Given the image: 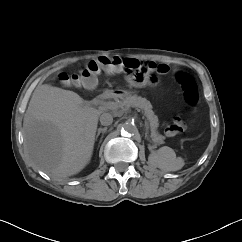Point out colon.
<instances>
[{"mask_svg": "<svg viewBox=\"0 0 242 242\" xmlns=\"http://www.w3.org/2000/svg\"><path fill=\"white\" fill-rule=\"evenodd\" d=\"M102 70L108 72L122 71L128 75L131 84L144 85L153 82L156 78V73H168L170 68L164 64L143 63L136 59L108 55L88 62L76 73H62L60 80L66 84L91 86L95 83V75ZM175 79L183 89L185 101L190 105H194L198 100V90L192 77L184 72H176ZM184 128L185 123L183 120L175 119L168 124L166 133L175 135L183 131Z\"/></svg>", "mask_w": 242, "mask_h": 242, "instance_id": "1", "label": "colon"}]
</instances>
